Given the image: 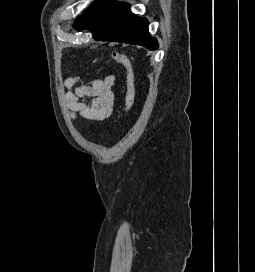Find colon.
<instances>
[{
	"mask_svg": "<svg viewBox=\"0 0 255 272\" xmlns=\"http://www.w3.org/2000/svg\"><path fill=\"white\" fill-rule=\"evenodd\" d=\"M111 58L121 65L126 71V97H125V114L129 113L135 101V81L134 71L129 58L121 52H112Z\"/></svg>",
	"mask_w": 255,
	"mask_h": 272,
	"instance_id": "5ec220e1",
	"label": "colon"
}]
</instances>
